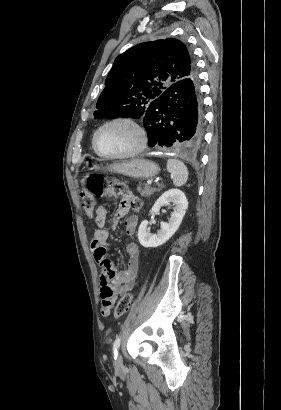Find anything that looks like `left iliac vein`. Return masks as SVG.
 <instances>
[{
	"instance_id": "1",
	"label": "left iliac vein",
	"mask_w": 281,
	"mask_h": 410,
	"mask_svg": "<svg viewBox=\"0 0 281 410\" xmlns=\"http://www.w3.org/2000/svg\"><path fill=\"white\" fill-rule=\"evenodd\" d=\"M114 366L116 370H122L123 369V360L120 354L117 355L115 362H114Z\"/></svg>"
}]
</instances>
